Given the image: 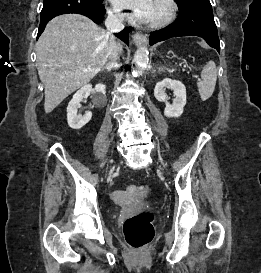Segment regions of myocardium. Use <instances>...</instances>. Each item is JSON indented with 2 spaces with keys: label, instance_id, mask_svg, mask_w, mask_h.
Returning <instances> with one entry per match:
<instances>
[{
  "label": "myocardium",
  "instance_id": "myocardium-1",
  "mask_svg": "<svg viewBox=\"0 0 261 273\" xmlns=\"http://www.w3.org/2000/svg\"><path fill=\"white\" fill-rule=\"evenodd\" d=\"M158 2L164 6L165 12L161 18L149 22V26L152 28H161L170 24L174 20L177 12L175 0H158Z\"/></svg>",
  "mask_w": 261,
  "mask_h": 273
}]
</instances>
